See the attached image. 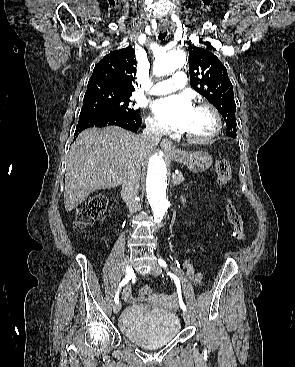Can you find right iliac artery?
Masks as SVG:
<instances>
[{"mask_svg":"<svg viewBox=\"0 0 295 367\" xmlns=\"http://www.w3.org/2000/svg\"><path fill=\"white\" fill-rule=\"evenodd\" d=\"M126 276L125 278L121 281V283L119 284V287H118V290L115 294V297H114V301L115 303H118L119 302V292H120V289L129 282V280L134 276V271L131 267H126Z\"/></svg>","mask_w":295,"mask_h":367,"instance_id":"82829eb1","label":"right iliac artery"}]
</instances>
